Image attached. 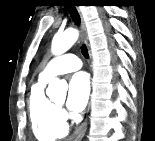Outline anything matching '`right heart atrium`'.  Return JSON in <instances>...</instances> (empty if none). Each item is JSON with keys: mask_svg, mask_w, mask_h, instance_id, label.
<instances>
[{"mask_svg": "<svg viewBox=\"0 0 155 141\" xmlns=\"http://www.w3.org/2000/svg\"><path fill=\"white\" fill-rule=\"evenodd\" d=\"M61 114H62L64 119L67 117V115L64 112H62Z\"/></svg>", "mask_w": 155, "mask_h": 141, "instance_id": "obj_1", "label": "right heart atrium"}]
</instances>
